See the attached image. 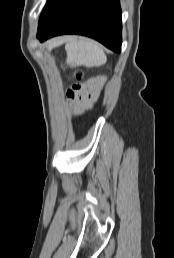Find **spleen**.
I'll return each mask as SVG.
<instances>
[{
	"mask_svg": "<svg viewBox=\"0 0 174 258\" xmlns=\"http://www.w3.org/2000/svg\"><path fill=\"white\" fill-rule=\"evenodd\" d=\"M65 49L67 52V63L71 66H100L107 60L103 48L91 39L72 37L66 44Z\"/></svg>",
	"mask_w": 174,
	"mask_h": 258,
	"instance_id": "spleen-1",
	"label": "spleen"
}]
</instances>
